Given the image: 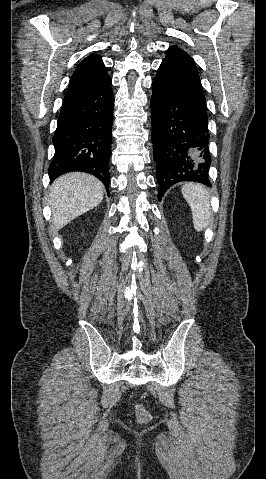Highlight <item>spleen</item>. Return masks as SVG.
Here are the masks:
<instances>
[{"label": "spleen", "instance_id": "spleen-1", "mask_svg": "<svg viewBox=\"0 0 266 479\" xmlns=\"http://www.w3.org/2000/svg\"><path fill=\"white\" fill-rule=\"evenodd\" d=\"M181 191L191 208L195 230L203 231L211 220L210 196L207 189L198 183H186Z\"/></svg>", "mask_w": 266, "mask_h": 479}]
</instances>
